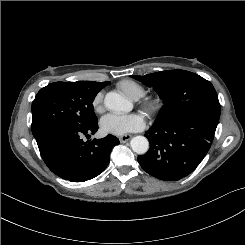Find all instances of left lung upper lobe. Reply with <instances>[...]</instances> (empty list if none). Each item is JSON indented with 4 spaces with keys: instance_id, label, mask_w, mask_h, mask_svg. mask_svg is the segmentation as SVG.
Here are the masks:
<instances>
[{
    "instance_id": "left-lung-upper-lobe-1",
    "label": "left lung upper lobe",
    "mask_w": 245,
    "mask_h": 245,
    "mask_svg": "<svg viewBox=\"0 0 245 245\" xmlns=\"http://www.w3.org/2000/svg\"><path fill=\"white\" fill-rule=\"evenodd\" d=\"M131 77L153 87L163 100L164 106L153 126L170 124L196 113L220 117L221 106L213 85L195 73L173 70Z\"/></svg>"
}]
</instances>
